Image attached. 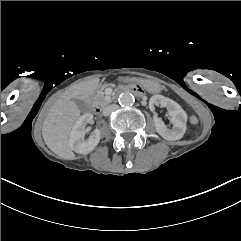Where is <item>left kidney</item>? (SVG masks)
I'll list each match as a JSON object with an SVG mask.
<instances>
[{
    "mask_svg": "<svg viewBox=\"0 0 241 241\" xmlns=\"http://www.w3.org/2000/svg\"><path fill=\"white\" fill-rule=\"evenodd\" d=\"M154 105L166 107L171 117L172 129H168L161 118L154 115L155 129L158 134L166 140H179L186 132L187 114L181 106L172 99L162 95H153L149 100V107L154 111Z\"/></svg>",
    "mask_w": 241,
    "mask_h": 241,
    "instance_id": "1",
    "label": "left kidney"
}]
</instances>
